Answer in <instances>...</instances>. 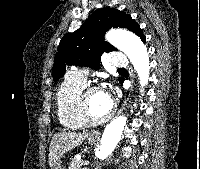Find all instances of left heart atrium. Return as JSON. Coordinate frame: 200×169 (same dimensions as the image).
Returning a JSON list of instances; mask_svg holds the SVG:
<instances>
[{
	"label": "left heart atrium",
	"instance_id": "1",
	"mask_svg": "<svg viewBox=\"0 0 200 169\" xmlns=\"http://www.w3.org/2000/svg\"><path fill=\"white\" fill-rule=\"evenodd\" d=\"M104 97L105 102L107 103L108 107L111 109L113 106V93L109 89H104L101 91Z\"/></svg>",
	"mask_w": 200,
	"mask_h": 169
}]
</instances>
